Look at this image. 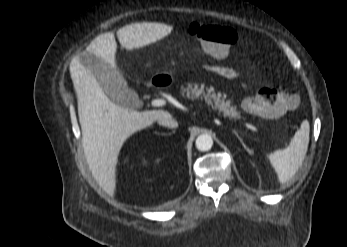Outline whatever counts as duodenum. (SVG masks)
Wrapping results in <instances>:
<instances>
[{"label": "duodenum", "instance_id": "obj_1", "mask_svg": "<svg viewBox=\"0 0 347 247\" xmlns=\"http://www.w3.org/2000/svg\"><path fill=\"white\" fill-rule=\"evenodd\" d=\"M167 85L164 77L162 76H156L152 79L150 86L153 88H160L165 87Z\"/></svg>", "mask_w": 347, "mask_h": 247}]
</instances>
